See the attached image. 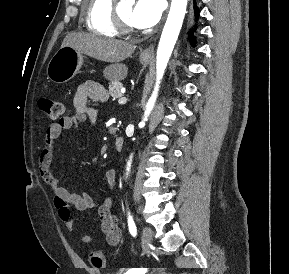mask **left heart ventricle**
I'll return each instance as SVG.
<instances>
[{
    "label": "left heart ventricle",
    "mask_w": 289,
    "mask_h": 274,
    "mask_svg": "<svg viewBox=\"0 0 289 274\" xmlns=\"http://www.w3.org/2000/svg\"><path fill=\"white\" fill-rule=\"evenodd\" d=\"M117 8H118V11H119L121 17L126 22H128L130 25H132V23H131V13H132V10H133L132 5H130V4H121Z\"/></svg>",
    "instance_id": "1"
}]
</instances>
